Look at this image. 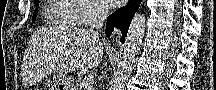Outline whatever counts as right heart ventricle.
<instances>
[{"mask_svg":"<svg viewBox=\"0 0 216 90\" xmlns=\"http://www.w3.org/2000/svg\"><path fill=\"white\" fill-rule=\"evenodd\" d=\"M66 1L51 0V6L44 8V14L48 15V19H44L48 28H85L81 20L74 19L80 16L79 11H86V7Z\"/></svg>","mask_w":216,"mask_h":90,"instance_id":"1","label":"right heart ventricle"}]
</instances>
